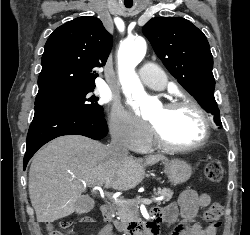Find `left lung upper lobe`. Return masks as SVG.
I'll list each match as a JSON object with an SVG mask.
<instances>
[{"instance_id": "left-lung-upper-lobe-1", "label": "left lung upper lobe", "mask_w": 250, "mask_h": 235, "mask_svg": "<svg viewBox=\"0 0 250 235\" xmlns=\"http://www.w3.org/2000/svg\"><path fill=\"white\" fill-rule=\"evenodd\" d=\"M142 32L168 71L221 126L214 98L213 57L204 33L182 17L152 18Z\"/></svg>"}]
</instances>
